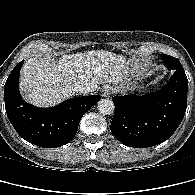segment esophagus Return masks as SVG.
<instances>
[{"instance_id":"34e87169","label":"esophagus","mask_w":195,"mask_h":195,"mask_svg":"<svg viewBox=\"0 0 195 195\" xmlns=\"http://www.w3.org/2000/svg\"><path fill=\"white\" fill-rule=\"evenodd\" d=\"M114 92L113 87L111 86H106L104 87V89L102 90V96L103 97H110Z\"/></svg>"}]
</instances>
